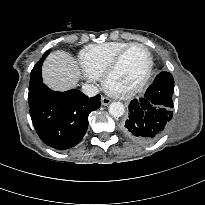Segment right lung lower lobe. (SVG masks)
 Instances as JSON below:
<instances>
[{"instance_id": "98d812e1", "label": "right lung lower lobe", "mask_w": 205, "mask_h": 205, "mask_svg": "<svg viewBox=\"0 0 205 205\" xmlns=\"http://www.w3.org/2000/svg\"><path fill=\"white\" fill-rule=\"evenodd\" d=\"M45 52L31 71L29 84L30 115L40 139L55 149L77 145L86 133L88 115L101 106L100 95L87 97L79 90L55 92L43 84L41 67Z\"/></svg>"}]
</instances>
